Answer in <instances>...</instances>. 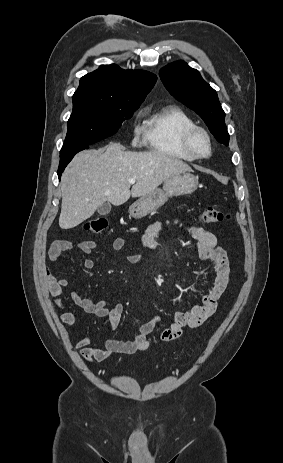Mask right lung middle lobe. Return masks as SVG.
I'll return each instance as SVG.
<instances>
[{
  "instance_id": "right-lung-middle-lobe-1",
  "label": "right lung middle lobe",
  "mask_w": 283,
  "mask_h": 463,
  "mask_svg": "<svg viewBox=\"0 0 283 463\" xmlns=\"http://www.w3.org/2000/svg\"><path fill=\"white\" fill-rule=\"evenodd\" d=\"M140 104L73 95V111L61 152L88 146L115 134Z\"/></svg>"
}]
</instances>
